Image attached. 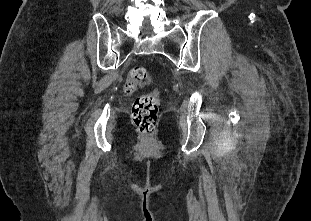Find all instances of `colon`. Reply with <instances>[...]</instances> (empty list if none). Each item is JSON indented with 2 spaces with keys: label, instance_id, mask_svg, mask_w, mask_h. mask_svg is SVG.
Masks as SVG:
<instances>
[{
  "label": "colon",
  "instance_id": "1",
  "mask_svg": "<svg viewBox=\"0 0 311 221\" xmlns=\"http://www.w3.org/2000/svg\"><path fill=\"white\" fill-rule=\"evenodd\" d=\"M149 81L145 67H134L126 78L124 92L132 94L138 88L145 86ZM159 105V94L156 91L136 98L131 117L132 123L138 131L146 135L154 131L157 124Z\"/></svg>",
  "mask_w": 311,
  "mask_h": 221
}]
</instances>
